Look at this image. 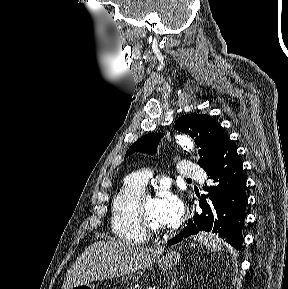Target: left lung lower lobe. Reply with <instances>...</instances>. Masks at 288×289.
<instances>
[{"instance_id":"0a47b994","label":"left lung lower lobe","mask_w":288,"mask_h":289,"mask_svg":"<svg viewBox=\"0 0 288 289\" xmlns=\"http://www.w3.org/2000/svg\"><path fill=\"white\" fill-rule=\"evenodd\" d=\"M211 182L200 197L199 209L187 227L169 240L173 245L183 238L207 231L218 234L235 249H241L242 228L247 206L246 181L237 150L228 138L218 156L204 169Z\"/></svg>"}]
</instances>
